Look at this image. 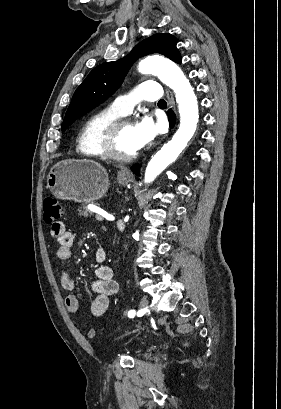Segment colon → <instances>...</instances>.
<instances>
[{
	"mask_svg": "<svg viewBox=\"0 0 281 409\" xmlns=\"http://www.w3.org/2000/svg\"><path fill=\"white\" fill-rule=\"evenodd\" d=\"M62 205L55 197H46L43 200V214L44 220L47 223H51L55 220H58L62 216ZM88 336L94 337V329L88 330ZM187 344V341H184V345Z\"/></svg>",
	"mask_w": 281,
	"mask_h": 409,
	"instance_id": "colon-1",
	"label": "colon"
}]
</instances>
